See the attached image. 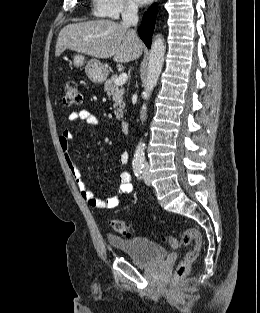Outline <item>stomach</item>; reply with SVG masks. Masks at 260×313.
I'll use <instances>...</instances> for the list:
<instances>
[{
    "instance_id": "stomach-1",
    "label": "stomach",
    "mask_w": 260,
    "mask_h": 313,
    "mask_svg": "<svg viewBox=\"0 0 260 313\" xmlns=\"http://www.w3.org/2000/svg\"><path fill=\"white\" fill-rule=\"evenodd\" d=\"M74 65L79 67L86 63L85 72L88 78L94 83H102L106 80L108 69L97 59H90L85 62L82 55H75L73 58Z\"/></svg>"
}]
</instances>
